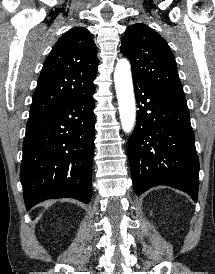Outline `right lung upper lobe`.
Instances as JSON below:
<instances>
[{
  "label": "right lung upper lobe",
  "instance_id": "1",
  "mask_svg": "<svg viewBox=\"0 0 215 274\" xmlns=\"http://www.w3.org/2000/svg\"><path fill=\"white\" fill-rule=\"evenodd\" d=\"M97 49L83 27L67 31L46 58L33 94L30 113L41 115L94 87Z\"/></svg>",
  "mask_w": 215,
  "mask_h": 274
}]
</instances>
